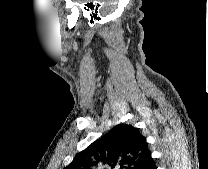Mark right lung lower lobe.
Returning <instances> with one entry per match:
<instances>
[{
	"label": "right lung lower lobe",
	"mask_w": 208,
	"mask_h": 169,
	"mask_svg": "<svg viewBox=\"0 0 208 169\" xmlns=\"http://www.w3.org/2000/svg\"><path fill=\"white\" fill-rule=\"evenodd\" d=\"M143 169H156L155 163L151 158L148 163L143 167Z\"/></svg>",
	"instance_id": "98d812e1"
}]
</instances>
